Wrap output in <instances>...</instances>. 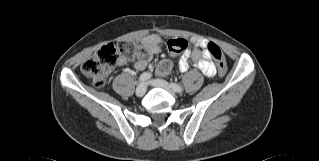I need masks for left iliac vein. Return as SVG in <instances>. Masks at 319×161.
I'll list each match as a JSON object with an SVG mask.
<instances>
[{
  "label": "left iliac vein",
  "mask_w": 319,
  "mask_h": 161,
  "mask_svg": "<svg viewBox=\"0 0 319 161\" xmlns=\"http://www.w3.org/2000/svg\"><path fill=\"white\" fill-rule=\"evenodd\" d=\"M150 84L154 87H159V88L165 89L170 94L175 95V91L172 89L171 85L168 82H166L165 80L154 79V80L150 81Z\"/></svg>",
  "instance_id": "left-iliac-vein-1"
}]
</instances>
